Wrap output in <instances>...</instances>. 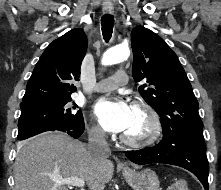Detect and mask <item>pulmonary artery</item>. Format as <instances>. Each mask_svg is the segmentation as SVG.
<instances>
[{"label":"pulmonary artery","mask_w":221,"mask_h":190,"mask_svg":"<svg viewBox=\"0 0 221 190\" xmlns=\"http://www.w3.org/2000/svg\"><path fill=\"white\" fill-rule=\"evenodd\" d=\"M128 84V75L124 70H118L111 77L99 81L93 88L95 92H105Z\"/></svg>","instance_id":"obj_1"}]
</instances>
